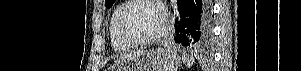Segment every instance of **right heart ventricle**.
Segmentation results:
<instances>
[{"instance_id": "e07e8e85", "label": "right heart ventricle", "mask_w": 301, "mask_h": 71, "mask_svg": "<svg viewBox=\"0 0 301 71\" xmlns=\"http://www.w3.org/2000/svg\"><path fill=\"white\" fill-rule=\"evenodd\" d=\"M125 4L126 3H121L114 9L108 27L111 45L113 49L117 52H125L131 47L120 38L117 30L118 17Z\"/></svg>"}]
</instances>
